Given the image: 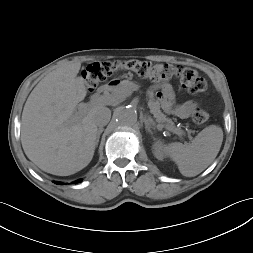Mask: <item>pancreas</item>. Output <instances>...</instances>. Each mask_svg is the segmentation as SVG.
Listing matches in <instances>:
<instances>
[{"mask_svg":"<svg viewBox=\"0 0 253 253\" xmlns=\"http://www.w3.org/2000/svg\"><path fill=\"white\" fill-rule=\"evenodd\" d=\"M107 96L109 100L115 103L122 102L126 99V97L130 96L133 87L131 82L123 81L118 86L108 87L106 90ZM148 106L150 108V112L156 118L158 123H161L166 129L172 132H181L179 128L174 126V123L171 119L167 118L160 110V103L157 100H149Z\"/></svg>","mask_w":253,"mask_h":253,"instance_id":"cf45deb5","label":"pancreas"}]
</instances>
